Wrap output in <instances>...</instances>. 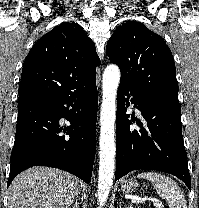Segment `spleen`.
Listing matches in <instances>:
<instances>
[{
    "mask_svg": "<svg viewBox=\"0 0 199 208\" xmlns=\"http://www.w3.org/2000/svg\"><path fill=\"white\" fill-rule=\"evenodd\" d=\"M137 177L149 180L158 195L168 202L170 208H187L183 192L177 183L168 176L156 172H143Z\"/></svg>",
    "mask_w": 199,
    "mask_h": 208,
    "instance_id": "spleen-1",
    "label": "spleen"
}]
</instances>
